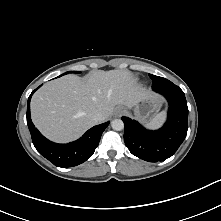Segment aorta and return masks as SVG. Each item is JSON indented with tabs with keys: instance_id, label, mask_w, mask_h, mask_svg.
I'll return each instance as SVG.
<instances>
[{
	"instance_id": "762f6f07",
	"label": "aorta",
	"mask_w": 221,
	"mask_h": 221,
	"mask_svg": "<svg viewBox=\"0 0 221 221\" xmlns=\"http://www.w3.org/2000/svg\"><path fill=\"white\" fill-rule=\"evenodd\" d=\"M111 127L115 131H121L124 128V123L121 119H114L111 121Z\"/></svg>"
}]
</instances>
